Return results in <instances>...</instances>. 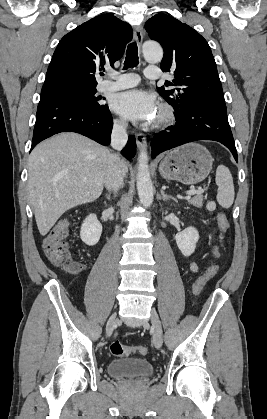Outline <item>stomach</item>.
<instances>
[{
	"label": "stomach",
	"instance_id": "0dacf381",
	"mask_svg": "<svg viewBox=\"0 0 267 419\" xmlns=\"http://www.w3.org/2000/svg\"><path fill=\"white\" fill-rule=\"evenodd\" d=\"M212 164L213 158L206 147L189 143L169 152L161 161L159 172L168 181L193 185L208 176Z\"/></svg>",
	"mask_w": 267,
	"mask_h": 419
}]
</instances>
